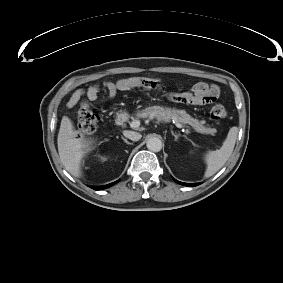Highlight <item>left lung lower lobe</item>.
Masks as SVG:
<instances>
[{
	"label": "left lung lower lobe",
	"mask_w": 283,
	"mask_h": 283,
	"mask_svg": "<svg viewBox=\"0 0 283 283\" xmlns=\"http://www.w3.org/2000/svg\"><path fill=\"white\" fill-rule=\"evenodd\" d=\"M175 182L182 184V185H185V186H190V187L198 185V184L183 183V182H180V181H177V180H175Z\"/></svg>",
	"instance_id": "1"
}]
</instances>
